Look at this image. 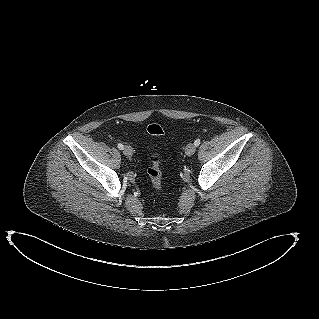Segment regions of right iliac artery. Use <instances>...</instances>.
<instances>
[{
	"mask_svg": "<svg viewBox=\"0 0 319 319\" xmlns=\"http://www.w3.org/2000/svg\"><path fill=\"white\" fill-rule=\"evenodd\" d=\"M117 147H118L120 150H123V149H124V146H123L121 143H119Z\"/></svg>",
	"mask_w": 319,
	"mask_h": 319,
	"instance_id": "82829eb1",
	"label": "right iliac artery"
}]
</instances>
